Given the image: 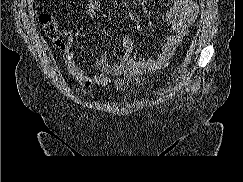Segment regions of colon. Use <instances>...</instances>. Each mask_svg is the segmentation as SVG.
I'll list each match as a JSON object with an SVG mask.
<instances>
[{"label": "colon", "mask_w": 243, "mask_h": 182, "mask_svg": "<svg viewBox=\"0 0 243 182\" xmlns=\"http://www.w3.org/2000/svg\"><path fill=\"white\" fill-rule=\"evenodd\" d=\"M43 25L45 32L56 42L58 46L65 49V45L62 41L63 33L60 29L58 20L51 13H43L39 18Z\"/></svg>", "instance_id": "colon-1"}]
</instances>
